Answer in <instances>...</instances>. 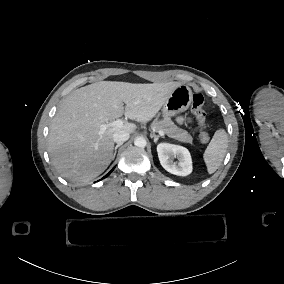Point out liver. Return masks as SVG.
<instances>
[{"mask_svg": "<svg viewBox=\"0 0 284 284\" xmlns=\"http://www.w3.org/2000/svg\"><path fill=\"white\" fill-rule=\"evenodd\" d=\"M181 85L101 81L75 90L62 101L50 125L48 152L55 169L73 182L96 178L113 159L114 133L137 129L135 123L125 122L101 133L99 124L122 115L146 124Z\"/></svg>", "mask_w": 284, "mask_h": 284, "instance_id": "1", "label": "liver"}]
</instances>
